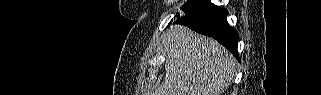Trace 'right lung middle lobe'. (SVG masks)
<instances>
[{"label":"right lung middle lobe","instance_id":"dd1d6c3e","mask_svg":"<svg viewBox=\"0 0 321 95\" xmlns=\"http://www.w3.org/2000/svg\"><path fill=\"white\" fill-rule=\"evenodd\" d=\"M209 4H211L209 0H189L181 7V9L184 11L183 17L192 15V14L202 10L203 8L208 6ZM178 15H179V13H178ZM179 18H182V17H178V19ZM171 22H172V20H171Z\"/></svg>","mask_w":321,"mask_h":95}]
</instances>
